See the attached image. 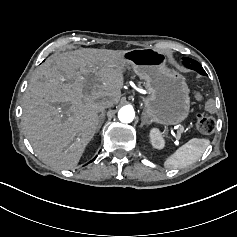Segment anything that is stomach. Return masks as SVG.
Returning <instances> with one entry per match:
<instances>
[{
    "label": "stomach",
    "mask_w": 237,
    "mask_h": 237,
    "mask_svg": "<svg viewBox=\"0 0 237 237\" xmlns=\"http://www.w3.org/2000/svg\"><path fill=\"white\" fill-rule=\"evenodd\" d=\"M166 56L153 48L133 49L125 54V65L146 81L143 114L163 126L183 123L190 114V90L185 77L165 66Z\"/></svg>",
    "instance_id": "1"
}]
</instances>
